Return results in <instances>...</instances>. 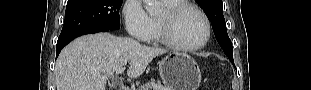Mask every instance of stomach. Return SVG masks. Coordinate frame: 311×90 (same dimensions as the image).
<instances>
[{
	"instance_id": "obj_1",
	"label": "stomach",
	"mask_w": 311,
	"mask_h": 90,
	"mask_svg": "<svg viewBox=\"0 0 311 90\" xmlns=\"http://www.w3.org/2000/svg\"><path fill=\"white\" fill-rule=\"evenodd\" d=\"M159 74L169 90H197L201 72L196 61L184 53H170L159 62Z\"/></svg>"
}]
</instances>
